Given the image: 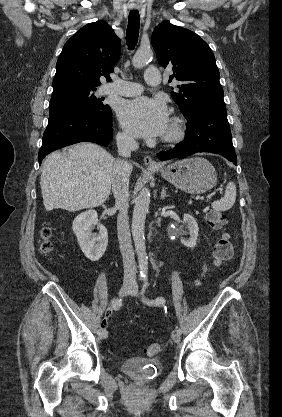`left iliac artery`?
I'll use <instances>...</instances> for the list:
<instances>
[{
	"label": "left iliac artery",
	"instance_id": "obj_1",
	"mask_svg": "<svg viewBox=\"0 0 282 417\" xmlns=\"http://www.w3.org/2000/svg\"><path fill=\"white\" fill-rule=\"evenodd\" d=\"M148 280L147 278L144 279L143 287H142V294L146 291L148 288ZM143 301L149 305H155V306H161L165 303V299L163 297H157L155 300H148L146 298H143ZM176 332L181 335L182 331L181 329H177Z\"/></svg>",
	"mask_w": 282,
	"mask_h": 417
}]
</instances>
